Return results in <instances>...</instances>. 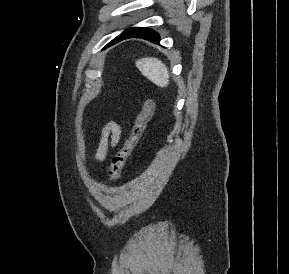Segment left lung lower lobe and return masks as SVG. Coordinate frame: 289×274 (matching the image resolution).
Listing matches in <instances>:
<instances>
[{"mask_svg":"<svg viewBox=\"0 0 289 274\" xmlns=\"http://www.w3.org/2000/svg\"><path fill=\"white\" fill-rule=\"evenodd\" d=\"M128 38H143L145 40H149L153 43H157L159 44V41H160V37L159 35L151 30V29H148V28H142V27H139V28H135L132 32L126 34L125 36L121 37L120 39H117L109 44L106 45L105 48H108L124 39H128ZM104 48V49H105Z\"/></svg>","mask_w":289,"mask_h":274,"instance_id":"0a47b994","label":"left lung lower lobe"}]
</instances>
